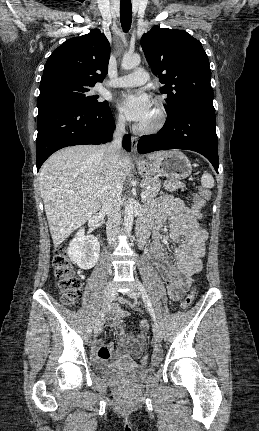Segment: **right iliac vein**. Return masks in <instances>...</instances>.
Here are the masks:
<instances>
[{"label": "right iliac vein", "instance_id": "1", "mask_svg": "<svg viewBox=\"0 0 259 431\" xmlns=\"http://www.w3.org/2000/svg\"><path fill=\"white\" fill-rule=\"evenodd\" d=\"M116 294V290H115V286L113 281H109L107 286H106V290H105V297H104V304L102 307V311L99 314L98 318L95 321V325H94V332L95 334H98L103 326L104 323V314H105V310L107 308V306L112 302V300L114 299Z\"/></svg>", "mask_w": 259, "mask_h": 431}]
</instances>
